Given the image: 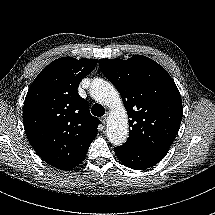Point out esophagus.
<instances>
[{"mask_svg":"<svg viewBox=\"0 0 215 215\" xmlns=\"http://www.w3.org/2000/svg\"><path fill=\"white\" fill-rule=\"evenodd\" d=\"M108 115H109V113H106V114L101 118L102 124H106Z\"/></svg>","mask_w":215,"mask_h":215,"instance_id":"1","label":"esophagus"}]
</instances>
